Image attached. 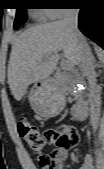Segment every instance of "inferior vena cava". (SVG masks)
Returning <instances> with one entry per match:
<instances>
[{
    "label": "inferior vena cava",
    "mask_w": 104,
    "mask_h": 169,
    "mask_svg": "<svg viewBox=\"0 0 104 169\" xmlns=\"http://www.w3.org/2000/svg\"><path fill=\"white\" fill-rule=\"evenodd\" d=\"M79 9H66L64 13L63 23L71 32L77 41L80 53V65L82 73L89 83V115L90 124L93 132L98 129L100 113H101V95L98 85L96 84V73L94 69V58L89 45L85 38L78 30Z\"/></svg>",
    "instance_id": "inferior-vena-cava-1"
}]
</instances>
